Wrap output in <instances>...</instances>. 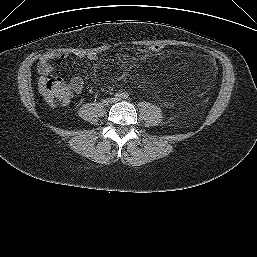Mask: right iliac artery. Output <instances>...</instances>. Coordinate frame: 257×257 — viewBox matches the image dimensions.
Segmentation results:
<instances>
[{"label": "right iliac artery", "instance_id": "right-iliac-artery-1", "mask_svg": "<svg viewBox=\"0 0 257 257\" xmlns=\"http://www.w3.org/2000/svg\"><path fill=\"white\" fill-rule=\"evenodd\" d=\"M121 97V94L120 93H116L115 94V99H119Z\"/></svg>", "mask_w": 257, "mask_h": 257}]
</instances>
